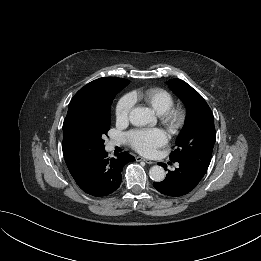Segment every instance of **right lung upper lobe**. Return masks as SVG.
I'll return each mask as SVG.
<instances>
[{
	"label": "right lung upper lobe",
	"instance_id": "right-lung-upper-lobe-1",
	"mask_svg": "<svg viewBox=\"0 0 261 261\" xmlns=\"http://www.w3.org/2000/svg\"><path fill=\"white\" fill-rule=\"evenodd\" d=\"M124 78L103 77L96 79L84 87H82L72 98L69 104L67 116L63 124V154L67 167L72 166L80 161L81 157L74 156L68 153L64 142V132L69 120L77 113L85 110L95 102L104 100L109 97L110 93Z\"/></svg>",
	"mask_w": 261,
	"mask_h": 261
}]
</instances>
